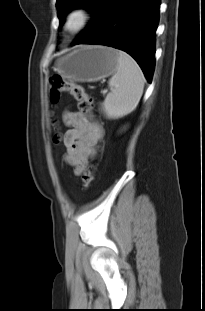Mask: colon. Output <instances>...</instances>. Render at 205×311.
Wrapping results in <instances>:
<instances>
[{
	"label": "colon",
	"mask_w": 205,
	"mask_h": 311,
	"mask_svg": "<svg viewBox=\"0 0 205 311\" xmlns=\"http://www.w3.org/2000/svg\"><path fill=\"white\" fill-rule=\"evenodd\" d=\"M68 93L72 95L77 101L79 108L84 113H91L93 111V99L86 94L82 86L66 80L60 76H54L51 79V99L55 103L59 100L61 94ZM55 139L60 140L57 135ZM95 168L94 165H86L82 173V182L84 187H89L94 178Z\"/></svg>",
	"instance_id": "5ec220e1"
}]
</instances>
